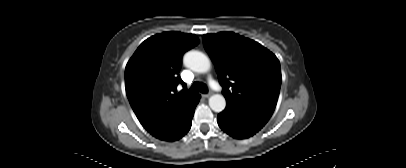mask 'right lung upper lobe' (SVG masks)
Returning a JSON list of instances; mask_svg holds the SVG:
<instances>
[{
  "instance_id": "obj_1",
  "label": "right lung upper lobe",
  "mask_w": 406,
  "mask_h": 168,
  "mask_svg": "<svg viewBox=\"0 0 406 168\" xmlns=\"http://www.w3.org/2000/svg\"><path fill=\"white\" fill-rule=\"evenodd\" d=\"M199 44L194 34L164 32L145 40L125 69L126 94L142 126L163 137L199 94L177 92L182 55Z\"/></svg>"
}]
</instances>
